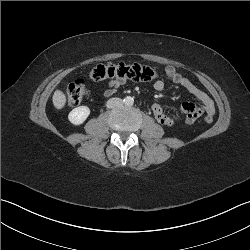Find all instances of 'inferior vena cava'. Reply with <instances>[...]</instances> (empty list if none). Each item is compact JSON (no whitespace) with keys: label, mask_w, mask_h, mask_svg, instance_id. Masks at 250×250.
Returning <instances> with one entry per match:
<instances>
[{"label":"inferior vena cava","mask_w":250,"mask_h":250,"mask_svg":"<svg viewBox=\"0 0 250 250\" xmlns=\"http://www.w3.org/2000/svg\"><path fill=\"white\" fill-rule=\"evenodd\" d=\"M123 104L122 99L120 98H111L107 101L106 106L108 108H115V107H119Z\"/></svg>","instance_id":"obj_1"}]
</instances>
